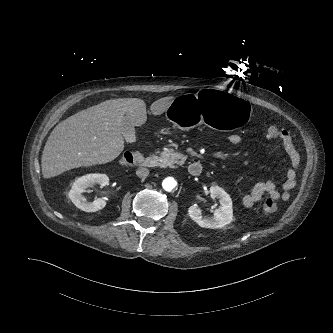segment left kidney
<instances>
[{
    "mask_svg": "<svg viewBox=\"0 0 333 333\" xmlns=\"http://www.w3.org/2000/svg\"><path fill=\"white\" fill-rule=\"evenodd\" d=\"M210 196L212 199H218L220 203V207L214 211V217L204 219L201 210L193 205L188 209L190 218L203 228L217 229L230 224L233 220V208L229 194L219 186H211Z\"/></svg>",
    "mask_w": 333,
    "mask_h": 333,
    "instance_id": "5707ae66",
    "label": "left kidney"
}]
</instances>
